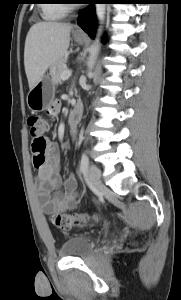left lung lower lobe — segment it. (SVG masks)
Wrapping results in <instances>:
<instances>
[{
	"mask_svg": "<svg viewBox=\"0 0 181 300\" xmlns=\"http://www.w3.org/2000/svg\"><path fill=\"white\" fill-rule=\"evenodd\" d=\"M89 4L95 3H113L111 0H93ZM78 25L91 37H94L96 29V17L93 7H89L82 11L79 15Z\"/></svg>",
	"mask_w": 181,
	"mask_h": 300,
	"instance_id": "obj_1",
	"label": "left lung lower lobe"
}]
</instances>
